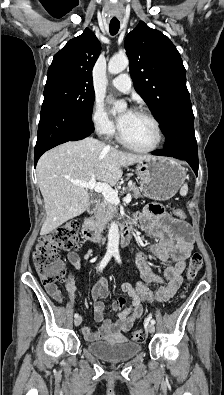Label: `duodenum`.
<instances>
[{
    "label": "duodenum",
    "mask_w": 224,
    "mask_h": 395,
    "mask_svg": "<svg viewBox=\"0 0 224 395\" xmlns=\"http://www.w3.org/2000/svg\"><path fill=\"white\" fill-rule=\"evenodd\" d=\"M97 199H93L90 203V206L88 207L87 213L91 214L97 205ZM133 222L134 221V216L132 217L131 220H128L127 222L122 224L121 227V245L122 246H127L132 237V232H133ZM82 234L85 240L90 241V242H98L101 236L100 230L94 226L89 220H86L83 224L82 227Z\"/></svg>",
    "instance_id": "obj_1"
}]
</instances>
